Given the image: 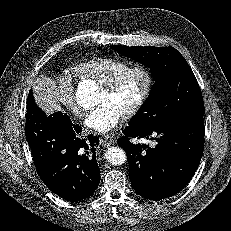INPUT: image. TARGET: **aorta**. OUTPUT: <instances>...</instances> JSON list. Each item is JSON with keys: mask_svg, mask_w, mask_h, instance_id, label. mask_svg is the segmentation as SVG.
<instances>
[{"mask_svg": "<svg viewBox=\"0 0 231 231\" xmlns=\"http://www.w3.org/2000/svg\"><path fill=\"white\" fill-rule=\"evenodd\" d=\"M94 88L79 85L77 100L83 108H91L95 105ZM105 158L112 165H122L127 160L126 152L120 147H111L105 152Z\"/></svg>", "mask_w": 231, "mask_h": 231, "instance_id": "1", "label": "aorta"}]
</instances>
